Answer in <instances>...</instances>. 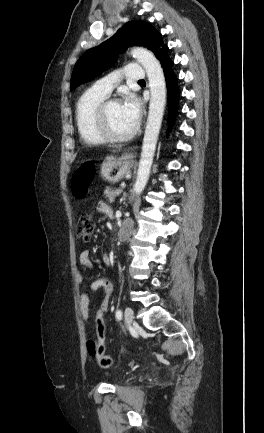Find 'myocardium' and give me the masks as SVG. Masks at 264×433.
Returning <instances> with one entry per match:
<instances>
[{"instance_id":"f54148a6","label":"myocardium","mask_w":264,"mask_h":433,"mask_svg":"<svg viewBox=\"0 0 264 433\" xmlns=\"http://www.w3.org/2000/svg\"><path fill=\"white\" fill-rule=\"evenodd\" d=\"M120 103L116 98L105 99L96 109L94 114V124L98 133L103 137L104 140L110 142H125L133 138L138 130L139 125L136 123L135 126L125 134L114 133L108 124L107 111L108 108L113 104Z\"/></svg>"}]
</instances>
